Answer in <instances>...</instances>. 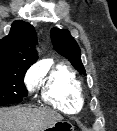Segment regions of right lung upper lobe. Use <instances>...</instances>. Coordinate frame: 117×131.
<instances>
[{
	"label": "right lung upper lobe",
	"mask_w": 117,
	"mask_h": 131,
	"mask_svg": "<svg viewBox=\"0 0 117 131\" xmlns=\"http://www.w3.org/2000/svg\"><path fill=\"white\" fill-rule=\"evenodd\" d=\"M34 27L22 20L13 22L9 35L0 40V67H30L37 60Z\"/></svg>",
	"instance_id": "cb5924a9"
}]
</instances>
